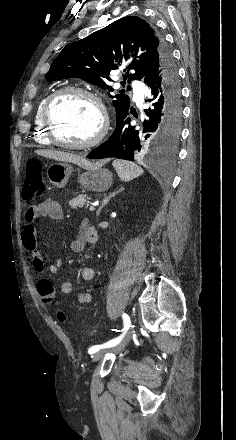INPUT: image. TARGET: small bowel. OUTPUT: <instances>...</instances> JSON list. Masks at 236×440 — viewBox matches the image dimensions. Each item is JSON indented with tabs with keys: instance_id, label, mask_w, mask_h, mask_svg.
<instances>
[{
	"instance_id": "1",
	"label": "small bowel",
	"mask_w": 236,
	"mask_h": 440,
	"mask_svg": "<svg viewBox=\"0 0 236 440\" xmlns=\"http://www.w3.org/2000/svg\"><path fill=\"white\" fill-rule=\"evenodd\" d=\"M49 217L52 220H60L63 217V211L60 203L55 199H45L39 203L30 206L24 216V227L21 240L23 247L31 254L32 265L36 273L46 271L56 274L62 265L61 259H56L53 263L46 266L41 253L37 249V229L35 222L38 218ZM98 240V233L87 220H84L80 227L78 235L72 240L70 248L74 252L82 251L87 244H94ZM81 276L84 280L93 278V269L90 266L81 268ZM74 290L71 281H65L61 285V291L64 294H70ZM78 300L81 304H89L92 301V295L88 291L80 292Z\"/></svg>"
}]
</instances>
